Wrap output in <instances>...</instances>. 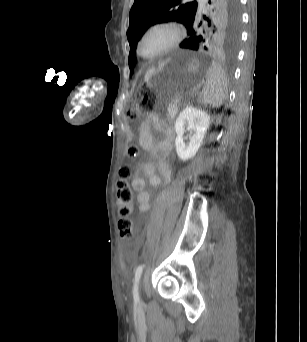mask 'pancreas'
<instances>
[{
  "label": "pancreas",
  "mask_w": 307,
  "mask_h": 342,
  "mask_svg": "<svg viewBox=\"0 0 307 342\" xmlns=\"http://www.w3.org/2000/svg\"><path fill=\"white\" fill-rule=\"evenodd\" d=\"M172 102L173 103H170L168 109L165 111L166 117H175L176 116L175 110L178 109V104H180L181 99H180V97H173Z\"/></svg>",
  "instance_id": "cf45deb5"
}]
</instances>
